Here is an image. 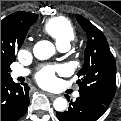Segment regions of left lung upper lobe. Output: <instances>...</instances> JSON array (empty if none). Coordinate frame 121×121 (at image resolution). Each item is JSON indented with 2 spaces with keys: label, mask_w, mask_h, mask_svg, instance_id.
I'll list each match as a JSON object with an SVG mask.
<instances>
[{
  "label": "left lung upper lobe",
  "mask_w": 121,
  "mask_h": 121,
  "mask_svg": "<svg viewBox=\"0 0 121 121\" xmlns=\"http://www.w3.org/2000/svg\"><path fill=\"white\" fill-rule=\"evenodd\" d=\"M76 19L88 37L84 65L78 72L79 93L109 106L116 91L115 59L104 34L86 18L76 14Z\"/></svg>",
  "instance_id": "5c2ea615"
}]
</instances>
